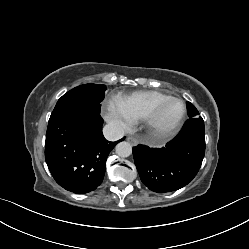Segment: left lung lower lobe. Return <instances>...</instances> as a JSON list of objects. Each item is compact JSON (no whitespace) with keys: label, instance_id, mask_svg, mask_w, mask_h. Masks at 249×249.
<instances>
[{"label":"left lung lower lobe","instance_id":"0a47b994","mask_svg":"<svg viewBox=\"0 0 249 249\" xmlns=\"http://www.w3.org/2000/svg\"><path fill=\"white\" fill-rule=\"evenodd\" d=\"M205 154L202 117H193L180 133L162 148L133 147L134 162L142 182L152 191L165 193L190 183Z\"/></svg>","mask_w":249,"mask_h":249}]
</instances>
